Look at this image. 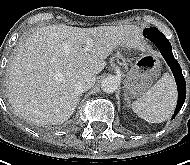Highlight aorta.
I'll return each mask as SVG.
<instances>
[{
  "label": "aorta",
  "instance_id": "obj_1",
  "mask_svg": "<svg viewBox=\"0 0 190 165\" xmlns=\"http://www.w3.org/2000/svg\"><path fill=\"white\" fill-rule=\"evenodd\" d=\"M119 86V80L114 76H108L102 80L101 87L106 93H113Z\"/></svg>",
  "mask_w": 190,
  "mask_h": 165
}]
</instances>
